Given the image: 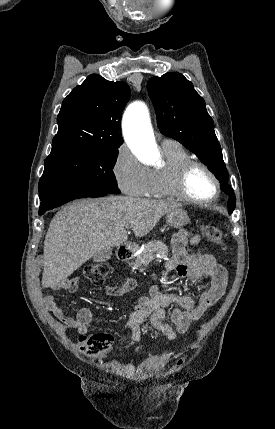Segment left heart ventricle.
Masks as SVG:
<instances>
[{
	"mask_svg": "<svg viewBox=\"0 0 275 429\" xmlns=\"http://www.w3.org/2000/svg\"><path fill=\"white\" fill-rule=\"evenodd\" d=\"M187 190L192 197L206 200L215 194L216 188L213 179L203 169L195 168L187 179Z\"/></svg>",
	"mask_w": 275,
	"mask_h": 429,
	"instance_id": "obj_1",
	"label": "left heart ventricle"
}]
</instances>
